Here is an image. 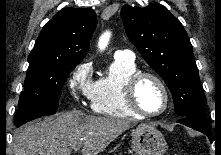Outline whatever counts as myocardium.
Returning <instances> with one entry per match:
<instances>
[{
	"instance_id": "f54148a6",
	"label": "myocardium",
	"mask_w": 221,
	"mask_h": 155,
	"mask_svg": "<svg viewBox=\"0 0 221 155\" xmlns=\"http://www.w3.org/2000/svg\"><path fill=\"white\" fill-rule=\"evenodd\" d=\"M145 78H150L154 80L159 85V87L161 88L163 92L164 105L160 111L147 112L143 110L138 103L137 89H138L140 82ZM124 97H125L126 104L130 108V110L142 117L160 116L167 111L169 104H170V94H169V90L165 82L155 73L148 72V71H138L129 77V79L127 80L124 86Z\"/></svg>"
}]
</instances>
